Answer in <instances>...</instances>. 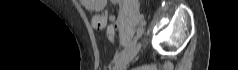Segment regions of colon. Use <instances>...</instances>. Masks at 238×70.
Segmentation results:
<instances>
[{
    "label": "colon",
    "instance_id": "obj_1",
    "mask_svg": "<svg viewBox=\"0 0 238 70\" xmlns=\"http://www.w3.org/2000/svg\"><path fill=\"white\" fill-rule=\"evenodd\" d=\"M116 34V25H110L107 28V37L109 40H114Z\"/></svg>",
    "mask_w": 238,
    "mask_h": 70
}]
</instances>
